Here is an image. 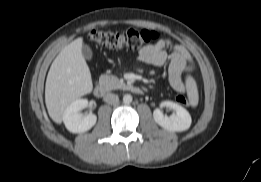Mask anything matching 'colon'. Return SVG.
<instances>
[{
	"instance_id": "colon-1",
	"label": "colon",
	"mask_w": 261,
	"mask_h": 182,
	"mask_svg": "<svg viewBox=\"0 0 261 182\" xmlns=\"http://www.w3.org/2000/svg\"><path fill=\"white\" fill-rule=\"evenodd\" d=\"M158 38L157 31L134 28L124 31L92 30L88 33V39L92 43L108 48L129 50L142 49ZM177 100L181 103H187L182 95L178 96Z\"/></svg>"
}]
</instances>
